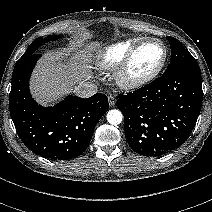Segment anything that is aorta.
Returning a JSON list of instances; mask_svg holds the SVG:
<instances>
[{"instance_id": "obj_1", "label": "aorta", "mask_w": 212, "mask_h": 212, "mask_svg": "<svg viewBox=\"0 0 212 212\" xmlns=\"http://www.w3.org/2000/svg\"><path fill=\"white\" fill-rule=\"evenodd\" d=\"M106 118H107V121L111 125L116 126L122 122L123 115L120 110L113 109V110L108 111Z\"/></svg>"}]
</instances>
